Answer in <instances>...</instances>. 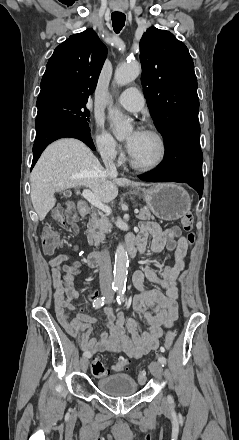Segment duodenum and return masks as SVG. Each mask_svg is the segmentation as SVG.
Segmentation results:
<instances>
[{
	"label": "duodenum",
	"instance_id": "obj_1",
	"mask_svg": "<svg viewBox=\"0 0 239 440\" xmlns=\"http://www.w3.org/2000/svg\"><path fill=\"white\" fill-rule=\"evenodd\" d=\"M79 212L82 216L88 215L91 212L90 205L85 201H81L79 203ZM127 252L130 257L135 256L136 246H135L134 242H128ZM103 261H104V253L100 252V251H94L89 254L88 259H87V264L91 268H96V267L101 266Z\"/></svg>",
	"mask_w": 239,
	"mask_h": 440
}]
</instances>
